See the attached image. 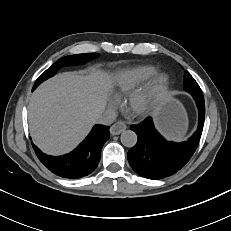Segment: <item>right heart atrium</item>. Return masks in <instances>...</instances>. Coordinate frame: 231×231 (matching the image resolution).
<instances>
[{
  "mask_svg": "<svg viewBox=\"0 0 231 231\" xmlns=\"http://www.w3.org/2000/svg\"><path fill=\"white\" fill-rule=\"evenodd\" d=\"M116 106V101H112L111 102V107H115Z\"/></svg>",
  "mask_w": 231,
  "mask_h": 231,
  "instance_id": "1",
  "label": "right heart atrium"
}]
</instances>
